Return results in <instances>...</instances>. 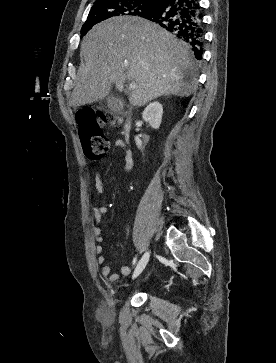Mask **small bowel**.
<instances>
[{"instance_id": "small-bowel-1", "label": "small bowel", "mask_w": 276, "mask_h": 363, "mask_svg": "<svg viewBox=\"0 0 276 363\" xmlns=\"http://www.w3.org/2000/svg\"><path fill=\"white\" fill-rule=\"evenodd\" d=\"M115 145L118 148H123L124 143L122 140H116ZM133 163L131 153L127 152L125 155V164L124 167L126 170L131 169ZM94 183L95 189L98 195H101L103 192V183L101 176L98 172L94 175ZM108 212L107 206H95L92 208V217L96 221L97 225L93 228V234L95 242L97 243L95 247V253L97 255V264L100 267V273L103 277L107 278L110 282H117L120 278V275L129 276L132 273V268L130 266L124 265L119 268V273H111L110 266L107 263L106 257L104 255V247L102 243L104 241L103 232L100 227L101 220L103 216Z\"/></svg>"}]
</instances>
